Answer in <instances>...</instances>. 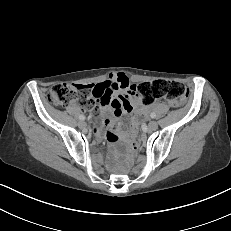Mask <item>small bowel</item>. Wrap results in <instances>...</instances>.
Wrapping results in <instances>:
<instances>
[{
    "mask_svg": "<svg viewBox=\"0 0 231 231\" xmlns=\"http://www.w3.org/2000/svg\"><path fill=\"white\" fill-rule=\"evenodd\" d=\"M91 88L93 97L103 106L100 118L94 124V132H105L106 139L114 143L118 139V120L123 113H145L144 109L137 107V87L124 73H118L102 83L92 84Z\"/></svg>",
    "mask_w": 231,
    "mask_h": 231,
    "instance_id": "small-bowel-1",
    "label": "small bowel"
}]
</instances>
